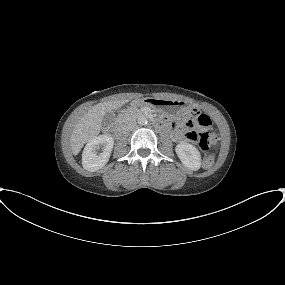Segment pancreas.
I'll list each match as a JSON object with an SVG mask.
<instances>
[{
    "instance_id": "pancreas-1",
    "label": "pancreas",
    "mask_w": 285,
    "mask_h": 285,
    "mask_svg": "<svg viewBox=\"0 0 285 285\" xmlns=\"http://www.w3.org/2000/svg\"><path fill=\"white\" fill-rule=\"evenodd\" d=\"M135 112H136L135 109H133V108H128V109L124 112V114H122V115L119 117L118 122L124 121L129 115H131V114H133V113H135Z\"/></svg>"
}]
</instances>
